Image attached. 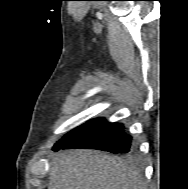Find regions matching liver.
<instances>
[{"label": "liver", "mask_w": 188, "mask_h": 189, "mask_svg": "<svg viewBox=\"0 0 188 189\" xmlns=\"http://www.w3.org/2000/svg\"><path fill=\"white\" fill-rule=\"evenodd\" d=\"M48 189H145L138 170L99 151L66 150L52 159Z\"/></svg>", "instance_id": "obj_1"}]
</instances>
